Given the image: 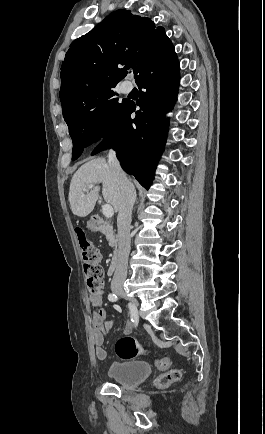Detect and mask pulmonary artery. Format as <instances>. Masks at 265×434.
Here are the masks:
<instances>
[{
  "instance_id": "1",
  "label": "pulmonary artery",
  "mask_w": 265,
  "mask_h": 434,
  "mask_svg": "<svg viewBox=\"0 0 265 434\" xmlns=\"http://www.w3.org/2000/svg\"><path fill=\"white\" fill-rule=\"evenodd\" d=\"M122 92H123L124 94H127V93L130 92V88H129V87H123V88H122Z\"/></svg>"
}]
</instances>
